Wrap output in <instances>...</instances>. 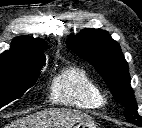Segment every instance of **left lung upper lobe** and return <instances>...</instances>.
Masks as SVG:
<instances>
[{
  "label": "left lung upper lobe",
  "instance_id": "obj_1",
  "mask_svg": "<svg viewBox=\"0 0 142 128\" xmlns=\"http://www.w3.org/2000/svg\"><path fill=\"white\" fill-rule=\"evenodd\" d=\"M68 47L87 60L103 77L114 98L124 107V115L130 122L142 126L137 104L130 86L128 64L119 44L109 33L100 29H84L67 39Z\"/></svg>",
  "mask_w": 142,
  "mask_h": 128
}]
</instances>
